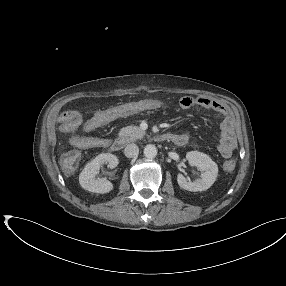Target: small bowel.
Segmentation results:
<instances>
[{
  "label": "small bowel",
  "mask_w": 286,
  "mask_h": 286,
  "mask_svg": "<svg viewBox=\"0 0 286 286\" xmlns=\"http://www.w3.org/2000/svg\"><path fill=\"white\" fill-rule=\"evenodd\" d=\"M179 106L182 109H188L191 107H199L203 109L212 110L215 113L220 114L223 117L221 125V140L218 146V150L224 158H229L236 147V134L235 124L229 112V109L219 102H216L208 97H183L179 100ZM164 107V103L159 100L148 99L139 102L129 103L125 105L115 106L106 110H112L113 113L109 117H104L102 111L95 112L88 120L83 124V129L86 132L92 131L110 121L117 118L124 117L130 114H134L140 111L159 109ZM74 111H64L59 115L60 129L63 133L68 134L76 130L81 125V118L78 115V119L72 116ZM185 138L187 142V136L179 134ZM69 143L80 149H87L93 147H107L110 144V139L99 136L90 135H71L68 137Z\"/></svg>",
  "instance_id": "c3829d8e"
}]
</instances>
